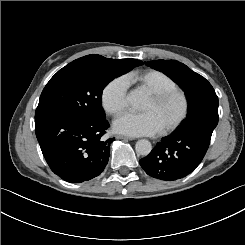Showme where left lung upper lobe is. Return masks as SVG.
<instances>
[{
  "label": "left lung upper lobe",
  "mask_w": 245,
  "mask_h": 245,
  "mask_svg": "<svg viewBox=\"0 0 245 245\" xmlns=\"http://www.w3.org/2000/svg\"><path fill=\"white\" fill-rule=\"evenodd\" d=\"M145 64L163 72L184 90L188 101V109L196 104L198 98H202L206 95V92L213 89L204 77L176 60H155L145 62Z\"/></svg>",
  "instance_id": "obj_1"
}]
</instances>
